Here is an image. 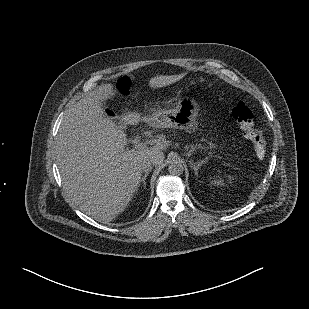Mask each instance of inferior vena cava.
<instances>
[{
	"mask_svg": "<svg viewBox=\"0 0 309 309\" xmlns=\"http://www.w3.org/2000/svg\"><path fill=\"white\" fill-rule=\"evenodd\" d=\"M155 164L152 161H147L142 165V170L148 172L152 169Z\"/></svg>",
	"mask_w": 309,
	"mask_h": 309,
	"instance_id": "1",
	"label": "inferior vena cava"
}]
</instances>
